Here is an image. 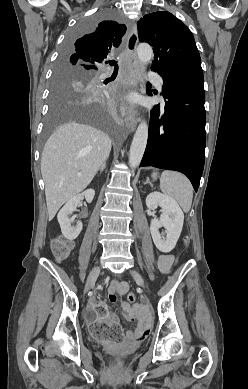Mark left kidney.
I'll return each mask as SVG.
<instances>
[{"label": "left kidney", "instance_id": "left-kidney-1", "mask_svg": "<svg viewBox=\"0 0 248 389\" xmlns=\"http://www.w3.org/2000/svg\"><path fill=\"white\" fill-rule=\"evenodd\" d=\"M146 206L149 210H155L158 206L162 209L161 219L151 220L150 232L157 249L168 253L174 249L180 237L184 214L175 199L159 192L150 193L146 197ZM161 227L165 228L163 234L159 232Z\"/></svg>", "mask_w": 248, "mask_h": 389}]
</instances>
